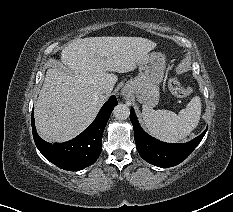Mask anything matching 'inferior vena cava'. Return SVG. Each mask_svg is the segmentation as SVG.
Returning <instances> with one entry per match:
<instances>
[{
    "instance_id": "obj_1",
    "label": "inferior vena cava",
    "mask_w": 233,
    "mask_h": 212,
    "mask_svg": "<svg viewBox=\"0 0 233 212\" xmlns=\"http://www.w3.org/2000/svg\"><path fill=\"white\" fill-rule=\"evenodd\" d=\"M98 91H99V93H101L105 96H107L111 93V89L109 87H101V88H99Z\"/></svg>"
}]
</instances>
